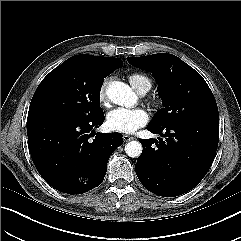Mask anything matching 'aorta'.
Listing matches in <instances>:
<instances>
[{
  "mask_svg": "<svg viewBox=\"0 0 241 241\" xmlns=\"http://www.w3.org/2000/svg\"><path fill=\"white\" fill-rule=\"evenodd\" d=\"M108 98L115 104L131 107L136 101V94L125 83L120 81L112 82L107 90ZM142 145L139 141H130L125 145V152L129 157L136 158L142 153Z\"/></svg>",
  "mask_w": 241,
  "mask_h": 241,
  "instance_id": "obj_1",
  "label": "aorta"
}]
</instances>
